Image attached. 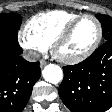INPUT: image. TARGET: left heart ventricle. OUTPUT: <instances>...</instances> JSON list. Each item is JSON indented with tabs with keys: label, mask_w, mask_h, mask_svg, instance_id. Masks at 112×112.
I'll return each instance as SVG.
<instances>
[{
	"label": "left heart ventricle",
	"mask_w": 112,
	"mask_h": 112,
	"mask_svg": "<svg viewBox=\"0 0 112 112\" xmlns=\"http://www.w3.org/2000/svg\"><path fill=\"white\" fill-rule=\"evenodd\" d=\"M97 25L91 18L82 19L62 43L59 53L65 57H74L85 52L94 42Z\"/></svg>",
	"instance_id": "left-heart-ventricle-1"
}]
</instances>
